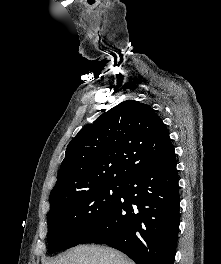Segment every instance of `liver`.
I'll return each mask as SVG.
<instances>
[{"label":"liver","mask_w":221,"mask_h":264,"mask_svg":"<svg viewBox=\"0 0 221 264\" xmlns=\"http://www.w3.org/2000/svg\"><path fill=\"white\" fill-rule=\"evenodd\" d=\"M44 264H135L123 253L95 245H80Z\"/></svg>","instance_id":"liver-1"}]
</instances>
